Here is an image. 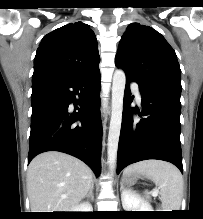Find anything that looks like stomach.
<instances>
[{"instance_id":"obj_1","label":"stomach","mask_w":203,"mask_h":219,"mask_svg":"<svg viewBox=\"0 0 203 219\" xmlns=\"http://www.w3.org/2000/svg\"><path fill=\"white\" fill-rule=\"evenodd\" d=\"M140 177V173H132L130 175H124L123 176V181L126 182V183H133L137 180V178Z\"/></svg>"}]
</instances>
